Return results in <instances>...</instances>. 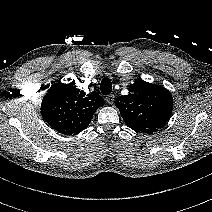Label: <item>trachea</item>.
<instances>
[{"mask_svg": "<svg viewBox=\"0 0 212 212\" xmlns=\"http://www.w3.org/2000/svg\"><path fill=\"white\" fill-rule=\"evenodd\" d=\"M101 93L103 95H109L112 92V84L109 78H104L100 84Z\"/></svg>", "mask_w": 212, "mask_h": 212, "instance_id": "1", "label": "trachea"}]
</instances>
